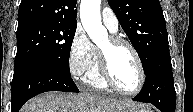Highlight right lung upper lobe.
<instances>
[{
	"label": "right lung upper lobe",
	"instance_id": "obj_1",
	"mask_svg": "<svg viewBox=\"0 0 193 112\" xmlns=\"http://www.w3.org/2000/svg\"><path fill=\"white\" fill-rule=\"evenodd\" d=\"M77 0H22L18 29L39 23L77 25Z\"/></svg>",
	"mask_w": 193,
	"mask_h": 112
}]
</instances>
